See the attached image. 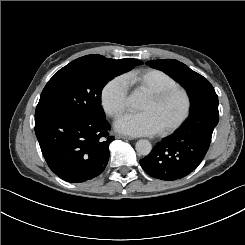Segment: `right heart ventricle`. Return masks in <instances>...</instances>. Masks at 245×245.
Wrapping results in <instances>:
<instances>
[{
    "instance_id": "1",
    "label": "right heart ventricle",
    "mask_w": 245,
    "mask_h": 245,
    "mask_svg": "<svg viewBox=\"0 0 245 245\" xmlns=\"http://www.w3.org/2000/svg\"><path fill=\"white\" fill-rule=\"evenodd\" d=\"M121 79L136 91H146L151 87L169 88L178 86L177 81L162 70L154 68H136L126 72Z\"/></svg>"
}]
</instances>
